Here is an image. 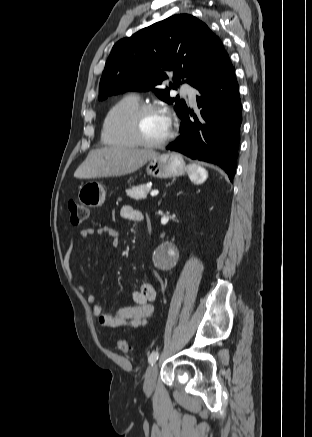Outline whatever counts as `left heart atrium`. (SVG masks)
Segmentation results:
<instances>
[{"label":"left heart atrium","instance_id":"39dd6f15","mask_svg":"<svg viewBox=\"0 0 312 437\" xmlns=\"http://www.w3.org/2000/svg\"><path fill=\"white\" fill-rule=\"evenodd\" d=\"M167 118H168V120H169V122H170V119H169V117L167 116Z\"/></svg>","mask_w":312,"mask_h":437}]
</instances>
